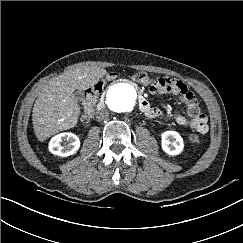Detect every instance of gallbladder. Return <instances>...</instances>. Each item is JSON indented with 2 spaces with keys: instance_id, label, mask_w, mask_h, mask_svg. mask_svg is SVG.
Segmentation results:
<instances>
[{
  "instance_id": "bac80fb5",
  "label": "gallbladder",
  "mask_w": 243,
  "mask_h": 243,
  "mask_svg": "<svg viewBox=\"0 0 243 243\" xmlns=\"http://www.w3.org/2000/svg\"><path fill=\"white\" fill-rule=\"evenodd\" d=\"M75 97H76L77 101H80L81 98H82V93H81V91H76V92H75Z\"/></svg>"
}]
</instances>
